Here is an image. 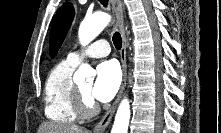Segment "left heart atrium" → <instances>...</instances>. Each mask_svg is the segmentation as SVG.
Wrapping results in <instances>:
<instances>
[{
    "mask_svg": "<svg viewBox=\"0 0 221 133\" xmlns=\"http://www.w3.org/2000/svg\"><path fill=\"white\" fill-rule=\"evenodd\" d=\"M120 81L121 74L116 62L104 61L97 66L96 80L90 95L100 102H108L115 96Z\"/></svg>",
    "mask_w": 221,
    "mask_h": 133,
    "instance_id": "left-heart-atrium-1",
    "label": "left heart atrium"
}]
</instances>
